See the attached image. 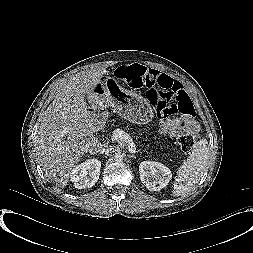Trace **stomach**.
I'll return each mask as SVG.
<instances>
[{
  "mask_svg": "<svg viewBox=\"0 0 253 253\" xmlns=\"http://www.w3.org/2000/svg\"><path fill=\"white\" fill-rule=\"evenodd\" d=\"M107 78L103 84H98L87 96L95 108L111 107L119 116L132 123L146 124L152 120L153 113L148 102L140 95L129 93L111 83Z\"/></svg>",
  "mask_w": 253,
  "mask_h": 253,
  "instance_id": "obj_1",
  "label": "stomach"
}]
</instances>
